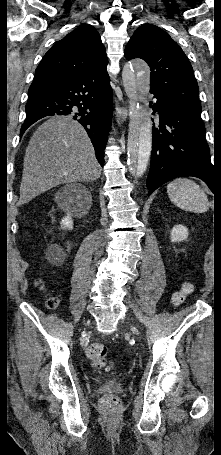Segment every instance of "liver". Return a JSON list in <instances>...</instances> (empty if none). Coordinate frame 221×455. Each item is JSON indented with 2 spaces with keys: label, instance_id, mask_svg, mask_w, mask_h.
I'll return each mask as SVG.
<instances>
[{
  "label": "liver",
  "instance_id": "1",
  "mask_svg": "<svg viewBox=\"0 0 221 455\" xmlns=\"http://www.w3.org/2000/svg\"><path fill=\"white\" fill-rule=\"evenodd\" d=\"M100 175L101 167L84 128L70 117L53 116L29 141L18 205L60 184L95 181Z\"/></svg>",
  "mask_w": 221,
  "mask_h": 455
}]
</instances>
